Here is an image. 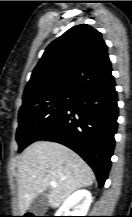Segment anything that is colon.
<instances>
[{
	"mask_svg": "<svg viewBox=\"0 0 132 217\" xmlns=\"http://www.w3.org/2000/svg\"><path fill=\"white\" fill-rule=\"evenodd\" d=\"M26 217H34V216H26Z\"/></svg>",
	"mask_w": 132,
	"mask_h": 217,
	"instance_id": "colon-1",
	"label": "colon"
}]
</instances>
